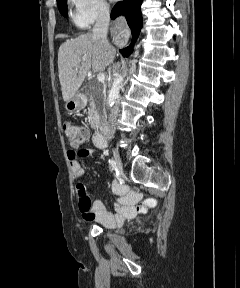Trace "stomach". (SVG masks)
<instances>
[{"instance_id":"0dacf381","label":"stomach","mask_w":240,"mask_h":288,"mask_svg":"<svg viewBox=\"0 0 240 288\" xmlns=\"http://www.w3.org/2000/svg\"><path fill=\"white\" fill-rule=\"evenodd\" d=\"M83 106V103L79 95L73 96L69 101L66 102L65 108L69 112H74L80 109Z\"/></svg>"}]
</instances>
